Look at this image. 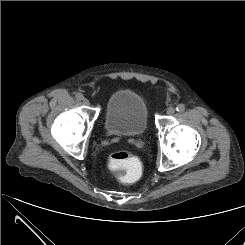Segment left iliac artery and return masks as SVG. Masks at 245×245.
Instances as JSON below:
<instances>
[{"instance_id": "obj_1", "label": "left iliac artery", "mask_w": 245, "mask_h": 245, "mask_svg": "<svg viewBox=\"0 0 245 245\" xmlns=\"http://www.w3.org/2000/svg\"><path fill=\"white\" fill-rule=\"evenodd\" d=\"M176 110L178 112H183L185 110V106L184 104H179L177 107H176Z\"/></svg>"}]
</instances>
